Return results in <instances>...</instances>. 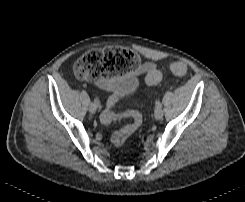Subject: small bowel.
<instances>
[{"label":"small bowel","instance_id":"small-bowel-1","mask_svg":"<svg viewBox=\"0 0 245 202\" xmlns=\"http://www.w3.org/2000/svg\"><path fill=\"white\" fill-rule=\"evenodd\" d=\"M156 71H159V68L155 62L153 61H145V62L140 61L139 62L138 61L137 65L135 66L131 74L132 76L143 75L145 79V83L151 86V85L158 84L161 80V78L158 80L154 78V73ZM94 84L99 89L103 91H108L111 88L112 81L108 79H100V80H97ZM120 98L121 97L118 92L111 91L109 98H108L107 105L110 108H113L118 103Z\"/></svg>","mask_w":245,"mask_h":202}]
</instances>
